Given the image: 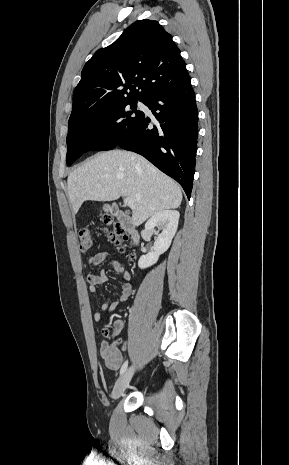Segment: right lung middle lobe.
Listing matches in <instances>:
<instances>
[{
  "mask_svg": "<svg viewBox=\"0 0 289 465\" xmlns=\"http://www.w3.org/2000/svg\"><path fill=\"white\" fill-rule=\"evenodd\" d=\"M137 100H104L82 106L78 121L68 129L67 165L84 152L115 148L143 117L144 113L136 109Z\"/></svg>",
  "mask_w": 289,
  "mask_h": 465,
  "instance_id": "right-lung-middle-lobe-1",
  "label": "right lung middle lobe"
}]
</instances>
